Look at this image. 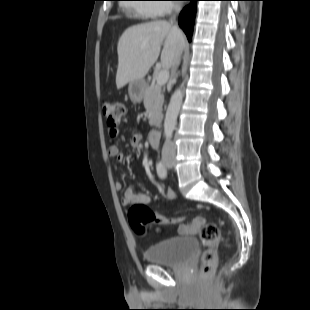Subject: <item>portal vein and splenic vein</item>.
Here are the masks:
<instances>
[{
  "instance_id": "1",
  "label": "portal vein and splenic vein",
  "mask_w": 310,
  "mask_h": 310,
  "mask_svg": "<svg viewBox=\"0 0 310 310\" xmlns=\"http://www.w3.org/2000/svg\"><path fill=\"white\" fill-rule=\"evenodd\" d=\"M169 78V72L167 70H162L158 73V76L156 78V85L158 87H161L166 84Z\"/></svg>"
}]
</instances>
